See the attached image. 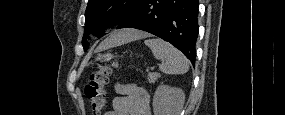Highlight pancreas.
<instances>
[{
    "instance_id": "pancreas-1",
    "label": "pancreas",
    "mask_w": 285,
    "mask_h": 115,
    "mask_svg": "<svg viewBox=\"0 0 285 115\" xmlns=\"http://www.w3.org/2000/svg\"><path fill=\"white\" fill-rule=\"evenodd\" d=\"M147 77H148L149 83H155L158 80V78H160V74L157 72H154V73L150 72L148 73Z\"/></svg>"
}]
</instances>
